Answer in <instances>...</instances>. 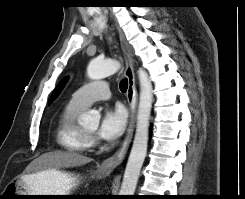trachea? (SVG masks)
I'll list each match as a JSON object with an SVG mask.
<instances>
[{
  "label": "trachea",
  "mask_w": 245,
  "mask_h": 199,
  "mask_svg": "<svg viewBox=\"0 0 245 199\" xmlns=\"http://www.w3.org/2000/svg\"><path fill=\"white\" fill-rule=\"evenodd\" d=\"M119 87H120L121 92L125 93L128 88V80L127 79L121 80Z\"/></svg>",
  "instance_id": "3493384b"
}]
</instances>
